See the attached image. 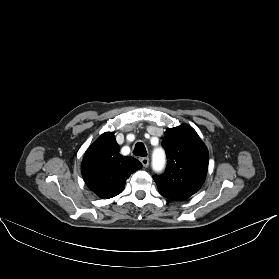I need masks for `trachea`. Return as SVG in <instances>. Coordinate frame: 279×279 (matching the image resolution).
<instances>
[{"mask_svg": "<svg viewBox=\"0 0 279 279\" xmlns=\"http://www.w3.org/2000/svg\"><path fill=\"white\" fill-rule=\"evenodd\" d=\"M133 154L136 156H142V157L147 156L146 148L142 142H137L135 144Z\"/></svg>", "mask_w": 279, "mask_h": 279, "instance_id": "trachea-1", "label": "trachea"}]
</instances>
